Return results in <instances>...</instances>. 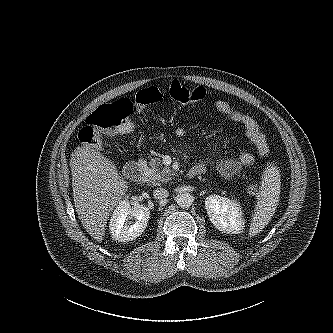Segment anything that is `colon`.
I'll return each instance as SVG.
<instances>
[{"instance_id":"5ec220e1","label":"colon","mask_w":333,"mask_h":333,"mask_svg":"<svg viewBox=\"0 0 333 333\" xmlns=\"http://www.w3.org/2000/svg\"><path fill=\"white\" fill-rule=\"evenodd\" d=\"M207 92L202 87H186L178 81H173L169 87V96L180 104H191L207 98ZM162 92L156 87L140 90L135 102L129 99H120L104 104L97 108L86 120V125L79 132V139L91 146H99L102 139L113 133H130L135 122L132 115L144 107L160 102ZM248 191L257 194V185H250Z\"/></svg>"}]
</instances>
